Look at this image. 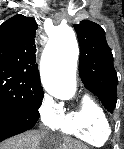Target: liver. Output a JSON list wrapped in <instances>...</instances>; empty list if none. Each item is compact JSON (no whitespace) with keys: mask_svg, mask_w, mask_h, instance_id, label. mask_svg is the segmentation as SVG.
<instances>
[{"mask_svg":"<svg viewBox=\"0 0 124 149\" xmlns=\"http://www.w3.org/2000/svg\"><path fill=\"white\" fill-rule=\"evenodd\" d=\"M87 149L85 145L67 137H58L47 131H29L12 137L0 145V149Z\"/></svg>","mask_w":124,"mask_h":149,"instance_id":"liver-1","label":"liver"}]
</instances>
